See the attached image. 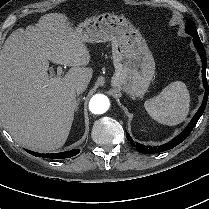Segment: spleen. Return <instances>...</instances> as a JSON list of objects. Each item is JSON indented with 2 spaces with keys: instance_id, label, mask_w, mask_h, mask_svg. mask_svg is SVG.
Here are the masks:
<instances>
[{
  "instance_id": "1",
  "label": "spleen",
  "mask_w": 209,
  "mask_h": 209,
  "mask_svg": "<svg viewBox=\"0 0 209 209\" xmlns=\"http://www.w3.org/2000/svg\"><path fill=\"white\" fill-rule=\"evenodd\" d=\"M148 114L158 123L174 126L182 123L190 109V95L185 83L176 81L159 95L145 101Z\"/></svg>"
}]
</instances>
